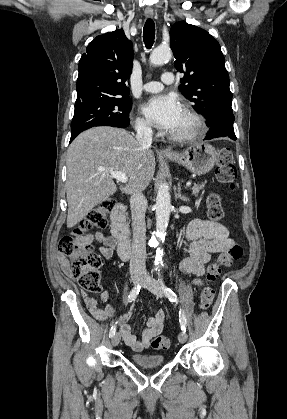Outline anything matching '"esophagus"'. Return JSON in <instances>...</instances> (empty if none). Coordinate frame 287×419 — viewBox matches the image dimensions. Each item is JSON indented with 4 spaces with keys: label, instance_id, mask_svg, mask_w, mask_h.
<instances>
[{
    "label": "esophagus",
    "instance_id": "1",
    "mask_svg": "<svg viewBox=\"0 0 287 419\" xmlns=\"http://www.w3.org/2000/svg\"><path fill=\"white\" fill-rule=\"evenodd\" d=\"M145 16L147 18H152L153 17V11H145ZM160 152L165 153V154H172L173 153V151L169 148H161Z\"/></svg>",
    "mask_w": 287,
    "mask_h": 419
}]
</instances>
